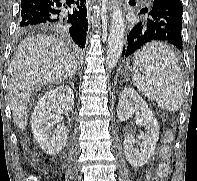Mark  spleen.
I'll list each match as a JSON object with an SVG mask.
<instances>
[{"mask_svg": "<svg viewBox=\"0 0 197 181\" xmlns=\"http://www.w3.org/2000/svg\"><path fill=\"white\" fill-rule=\"evenodd\" d=\"M133 62L138 90L162 109L179 110L183 102L182 73L171 47L150 42L135 53Z\"/></svg>", "mask_w": 197, "mask_h": 181, "instance_id": "3e777b00", "label": "spleen"}]
</instances>
